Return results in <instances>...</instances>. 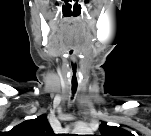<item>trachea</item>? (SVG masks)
Returning <instances> with one entry per match:
<instances>
[{
  "label": "trachea",
  "mask_w": 151,
  "mask_h": 136,
  "mask_svg": "<svg viewBox=\"0 0 151 136\" xmlns=\"http://www.w3.org/2000/svg\"><path fill=\"white\" fill-rule=\"evenodd\" d=\"M77 87H78V84L76 81H72V84H71V90H72V94H75L76 90H77Z\"/></svg>",
  "instance_id": "3493384b"
}]
</instances>
